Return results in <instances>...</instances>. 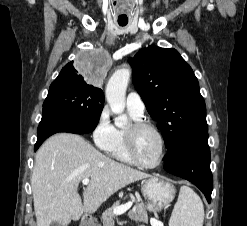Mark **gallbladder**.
Here are the masks:
<instances>
[{"instance_id":"gallbladder-1","label":"gallbladder","mask_w":247,"mask_h":226,"mask_svg":"<svg viewBox=\"0 0 247 226\" xmlns=\"http://www.w3.org/2000/svg\"><path fill=\"white\" fill-rule=\"evenodd\" d=\"M50 226H61V225L58 224V223H56V222H52V223L50 224Z\"/></svg>"}]
</instances>
